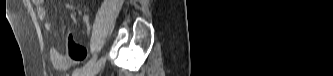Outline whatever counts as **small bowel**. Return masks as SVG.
I'll use <instances>...</instances> for the list:
<instances>
[{
  "label": "small bowel",
  "mask_w": 333,
  "mask_h": 76,
  "mask_svg": "<svg viewBox=\"0 0 333 76\" xmlns=\"http://www.w3.org/2000/svg\"><path fill=\"white\" fill-rule=\"evenodd\" d=\"M36 5V12L39 19L45 21L48 16L47 8L44 5L43 0H34ZM83 22L85 24L86 30L90 31L92 28L90 19L88 15H83ZM45 28L47 30L52 29V25L49 22L45 23ZM49 55L52 64L59 69H68L72 67L76 62H80L84 59L86 55L85 46L76 43L72 35L69 33L66 41V51L62 52L59 47L55 44L51 45L49 49Z\"/></svg>",
  "instance_id": "1"
}]
</instances>
